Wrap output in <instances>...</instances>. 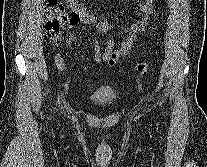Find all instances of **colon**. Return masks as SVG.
I'll return each mask as SVG.
<instances>
[{"instance_id": "obj_1", "label": "colon", "mask_w": 207, "mask_h": 167, "mask_svg": "<svg viewBox=\"0 0 207 167\" xmlns=\"http://www.w3.org/2000/svg\"><path fill=\"white\" fill-rule=\"evenodd\" d=\"M46 32L52 42H56L61 38V32L68 24L69 19L63 5L59 0L46 1ZM149 68V62H140L135 67L138 75H145Z\"/></svg>"}]
</instances>
